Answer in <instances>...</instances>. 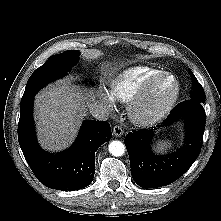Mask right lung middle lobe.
<instances>
[{
  "label": "right lung middle lobe",
  "mask_w": 221,
  "mask_h": 221,
  "mask_svg": "<svg viewBox=\"0 0 221 221\" xmlns=\"http://www.w3.org/2000/svg\"><path fill=\"white\" fill-rule=\"evenodd\" d=\"M79 53L69 50L51 56L41 67L30 76L21 103L34 97V95L47 83L64 76L78 61Z\"/></svg>",
  "instance_id": "right-lung-middle-lobe-1"
}]
</instances>
